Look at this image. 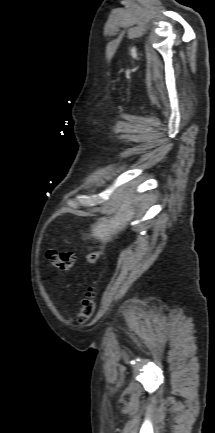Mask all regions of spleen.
<instances>
[{"label": "spleen", "mask_w": 215, "mask_h": 433, "mask_svg": "<svg viewBox=\"0 0 215 433\" xmlns=\"http://www.w3.org/2000/svg\"><path fill=\"white\" fill-rule=\"evenodd\" d=\"M133 215V209L122 208L116 216L110 219L101 218L99 222L93 226L92 236L103 241H108L111 235L125 227L127 221L131 220Z\"/></svg>", "instance_id": "3e777b00"}]
</instances>
